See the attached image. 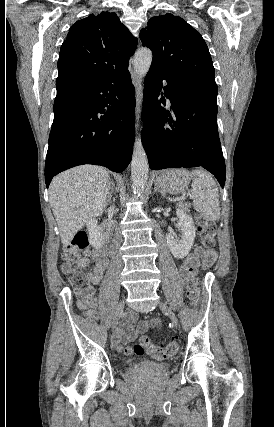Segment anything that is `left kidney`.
<instances>
[{"label":"left kidney","mask_w":274,"mask_h":427,"mask_svg":"<svg viewBox=\"0 0 274 427\" xmlns=\"http://www.w3.org/2000/svg\"><path fill=\"white\" fill-rule=\"evenodd\" d=\"M178 227L182 231L181 239H175L174 231L166 233L167 245L177 259H182L189 253L195 237V225L191 215L186 214L185 210H177Z\"/></svg>","instance_id":"5707ae66"}]
</instances>
